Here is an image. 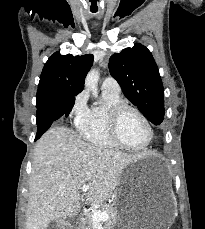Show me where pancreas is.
I'll return each mask as SVG.
<instances>
[{"label": "pancreas", "mask_w": 205, "mask_h": 229, "mask_svg": "<svg viewBox=\"0 0 205 229\" xmlns=\"http://www.w3.org/2000/svg\"><path fill=\"white\" fill-rule=\"evenodd\" d=\"M100 211L107 212L109 219L104 222V229H114L117 221V209L113 205H103ZM79 229H93V220L91 214H87Z\"/></svg>", "instance_id": "pancreas-1"}]
</instances>
